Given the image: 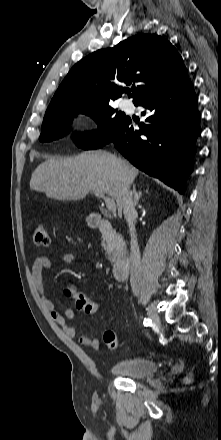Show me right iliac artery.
<instances>
[{
    "mask_svg": "<svg viewBox=\"0 0 221 440\" xmlns=\"http://www.w3.org/2000/svg\"><path fill=\"white\" fill-rule=\"evenodd\" d=\"M151 322L152 321L150 319L145 318L144 321H143V324H144V326H148V325H150Z\"/></svg>",
    "mask_w": 221,
    "mask_h": 440,
    "instance_id": "1",
    "label": "right iliac artery"
}]
</instances>
